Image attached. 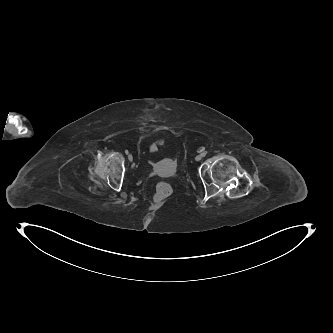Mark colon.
Masks as SVG:
<instances>
[{"label":"colon","mask_w":333,"mask_h":333,"mask_svg":"<svg viewBox=\"0 0 333 333\" xmlns=\"http://www.w3.org/2000/svg\"><path fill=\"white\" fill-rule=\"evenodd\" d=\"M163 143L164 140L162 138L153 141L149 145L150 152L157 151L158 147L161 146ZM172 193H173L172 187L168 183L161 182L156 186V191L153 196V201L156 205H161L172 195Z\"/></svg>","instance_id":"obj_1"}]
</instances>
